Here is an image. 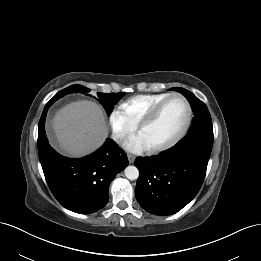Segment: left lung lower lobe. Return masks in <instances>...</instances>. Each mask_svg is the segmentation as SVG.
<instances>
[{
  "label": "left lung lower lobe",
  "instance_id": "left-lung-lower-lobe-1",
  "mask_svg": "<svg viewBox=\"0 0 261 261\" xmlns=\"http://www.w3.org/2000/svg\"><path fill=\"white\" fill-rule=\"evenodd\" d=\"M213 145V135L187 134L157 156L138 157L140 176L135 196L147 212L167 216L180 211L203 183Z\"/></svg>",
  "mask_w": 261,
  "mask_h": 261
}]
</instances>
